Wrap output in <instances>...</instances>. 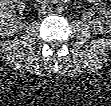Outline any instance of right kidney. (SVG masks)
<instances>
[{"instance_id":"ca27d5eb","label":"right kidney","mask_w":111,"mask_h":106,"mask_svg":"<svg viewBox=\"0 0 111 106\" xmlns=\"http://www.w3.org/2000/svg\"><path fill=\"white\" fill-rule=\"evenodd\" d=\"M26 8L25 2L20 0H2L0 2V31L3 36H12L24 27L21 20L14 18L15 9Z\"/></svg>"}]
</instances>
